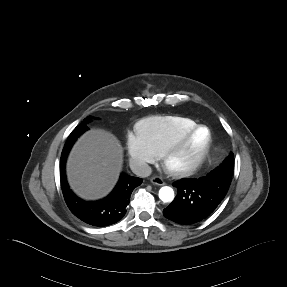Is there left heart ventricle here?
I'll return each mask as SVG.
<instances>
[{
    "mask_svg": "<svg viewBox=\"0 0 287 287\" xmlns=\"http://www.w3.org/2000/svg\"><path fill=\"white\" fill-rule=\"evenodd\" d=\"M208 137L209 134L206 129L197 131L186 147L172 159L171 165L177 167L192 164L204 150Z\"/></svg>",
    "mask_w": 287,
    "mask_h": 287,
    "instance_id": "obj_1",
    "label": "left heart ventricle"
}]
</instances>
